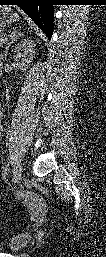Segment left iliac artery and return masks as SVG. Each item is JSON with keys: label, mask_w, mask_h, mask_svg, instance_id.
I'll return each mask as SVG.
<instances>
[{"label": "left iliac artery", "mask_w": 106, "mask_h": 257, "mask_svg": "<svg viewBox=\"0 0 106 257\" xmlns=\"http://www.w3.org/2000/svg\"><path fill=\"white\" fill-rule=\"evenodd\" d=\"M8 172H9V163H7L5 167L4 175H7Z\"/></svg>", "instance_id": "44dca946"}]
</instances>
